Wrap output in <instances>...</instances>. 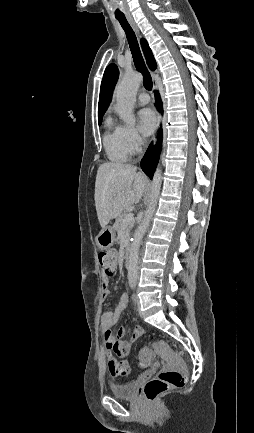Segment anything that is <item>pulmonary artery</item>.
I'll list each match as a JSON object with an SVG mask.
<instances>
[{
	"label": "pulmonary artery",
	"mask_w": 254,
	"mask_h": 433,
	"mask_svg": "<svg viewBox=\"0 0 254 433\" xmlns=\"http://www.w3.org/2000/svg\"><path fill=\"white\" fill-rule=\"evenodd\" d=\"M150 101V97L147 93L142 92L138 95V103L140 105H146L147 103H149Z\"/></svg>",
	"instance_id": "obj_1"
}]
</instances>
